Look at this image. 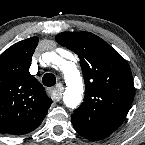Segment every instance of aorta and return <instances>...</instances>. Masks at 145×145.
Returning a JSON list of instances; mask_svg holds the SVG:
<instances>
[{
	"instance_id": "1",
	"label": "aorta",
	"mask_w": 145,
	"mask_h": 145,
	"mask_svg": "<svg viewBox=\"0 0 145 145\" xmlns=\"http://www.w3.org/2000/svg\"><path fill=\"white\" fill-rule=\"evenodd\" d=\"M50 62L60 66L64 73L67 84L63 94V101L65 105L69 108H76L81 103L83 95V83L79 71L69 62L53 53L50 54Z\"/></svg>"
}]
</instances>
